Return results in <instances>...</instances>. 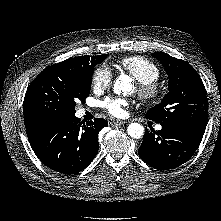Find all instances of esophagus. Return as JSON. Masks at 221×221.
<instances>
[{"label": "esophagus", "mask_w": 221, "mask_h": 221, "mask_svg": "<svg viewBox=\"0 0 221 221\" xmlns=\"http://www.w3.org/2000/svg\"><path fill=\"white\" fill-rule=\"evenodd\" d=\"M126 123V121H122V120H111L110 124L112 125H124Z\"/></svg>", "instance_id": "esophagus-1"}]
</instances>
